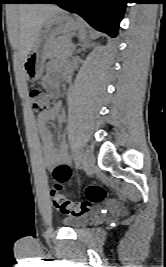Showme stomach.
Segmentation results:
<instances>
[{
	"mask_svg": "<svg viewBox=\"0 0 166 267\" xmlns=\"http://www.w3.org/2000/svg\"><path fill=\"white\" fill-rule=\"evenodd\" d=\"M81 23L67 12L60 11L46 20L40 27L36 41L26 55L23 70L28 81L34 82L42 77L44 64L53 39L79 30Z\"/></svg>",
	"mask_w": 166,
	"mask_h": 267,
	"instance_id": "obj_1",
	"label": "stomach"
}]
</instances>
